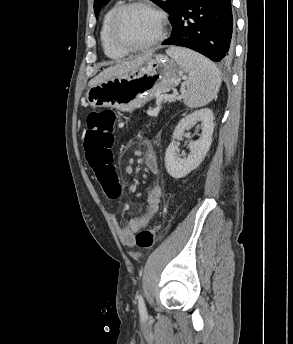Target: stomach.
<instances>
[{"instance_id": "1", "label": "stomach", "mask_w": 293, "mask_h": 344, "mask_svg": "<svg viewBox=\"0 0 293 344\" xmlns=\"http://www.w3.org/2000/svg\"><path fill=\"white\" fill-rule=\"evenodd\" d=\"M183 72L173 58L152 53L138 69L91 87L86 99L93 108L114 107L132 112L178 86Z\"/></svg>"}]
</instances>
